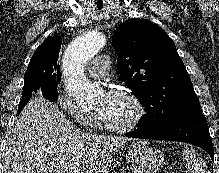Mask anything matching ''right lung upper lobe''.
<instances>
[{
	"instance_id": "right-lung-upper-lobe-1",
	"label": "right lung upper lobe",
	"mask_w": 219,
	"mask_h": 173,
	"mask_svg": "<svg viewBox=\"0 0 219 173\" xmlns=\"http://www.w3.org/2000/svg\"><path fill=\"white\" fill-rule=\"evenodd\" d=\"M62 38L58 35L48 37L32 56L29 66L53 68L61 77L57 64Z\"/></svg>"
}]
</instances>
